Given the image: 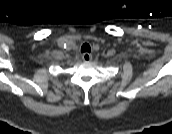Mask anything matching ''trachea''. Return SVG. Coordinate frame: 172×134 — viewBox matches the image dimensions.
<instances>
[{
    "label": "trachea",
    "mask_w": 172,
    "mask_h": 134,
    "mask_svg": "<svg viewBox=\"0 0 172 134\" xmlns=\"http://www.w3.org/2000/svg\"><path fill=\"white\" fill-rule=\"evenodd\" d=\"M81 52H91V47L88 43H84L81 47Z\"/></svg>",
    "instance_id": "trachea-1"
}]
</instances>
